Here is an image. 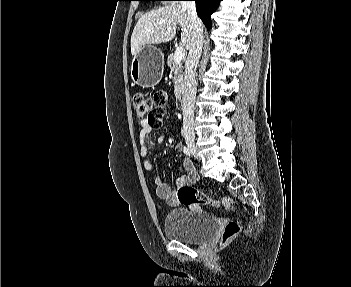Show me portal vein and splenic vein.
I'll use <instances>...</instances> for the list:
<instances>
[{"label": "portal vein and splenic vein", "instance_id": "portal-vein-and-splenic-vein-1", "mask_svg": "<svg viewBox=\"0 0 351 287\" xmlns=\"http://www.w3.org/2000/svg\"><path fill=\"white\" fill-rule=\"evenodd\" d=\"M185 57V49L183 47H178L174 54V61L180 63Z\"/></svg>", "mask_w": 351, "mask_h": 287}]
</instances>
